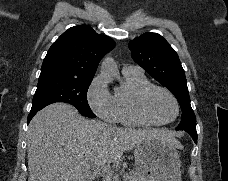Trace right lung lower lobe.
Segmentation results:
<instances>
[{"label":"right lung lower lobe","mask_w":228,"mask_h":181,"mask_svg":"<svg viewBox=\"0 0 228 181\" xmlns=\"http://www.w3.org/2000/svg\"><path fill=\"white\" fill-rule=\"evenodd\" d=\"M39 110H31L28 116V122L32 119V117L38 112Z\"/></svg>","instance_id":"right-lung-lower-lobe-1"}]
</instances>
